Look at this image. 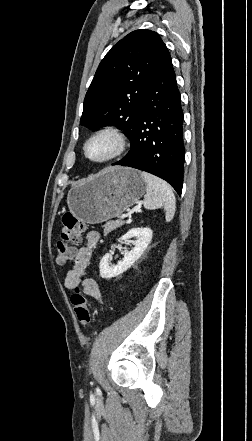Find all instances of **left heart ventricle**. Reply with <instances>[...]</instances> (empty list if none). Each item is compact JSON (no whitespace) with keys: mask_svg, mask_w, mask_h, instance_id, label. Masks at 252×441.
Here are the masks:
<instances>
[{"mask_svg":"<svg viewBox=\"0 0 252 441\" xmlns=\"http://www.w3.org/2000/svg\"><path fill=\"white\" fill-rule=\"evenodd\" d=\"M114 148V142L108 137H100L88 145V154L94 159L108 156Z\"/></svg>","mask_w":252,"mask_h":441,"instance_id":"b2bd125f","label":"left heart ventricle"}]
</instances>
